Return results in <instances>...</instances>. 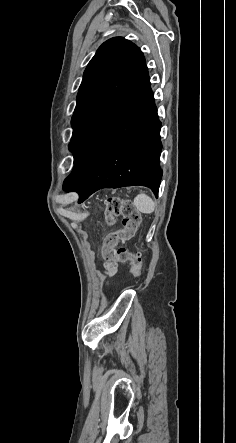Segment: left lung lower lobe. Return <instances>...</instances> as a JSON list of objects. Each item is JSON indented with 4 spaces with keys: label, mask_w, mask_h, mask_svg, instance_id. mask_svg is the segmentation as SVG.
Wrapping results in <instances>:
<instances>
[{
    "label": "left lung lower lobe",
    "mask_w": 236,
    "mask_h": 443,
    "mask_svg": "<svg viewBox=\"0 0 236 443\" xmlns=\"http://www.w3.org/2000/svg\"><path fill=\"white\" fill-rule=\"evenodd\" d=\"M146 65L120 98L76 145L74 168L63 189L76 191L79 203L102 188L143 185L157 196L162 178V144Z\"/></svg>",
    "instance_id": "0a47b994"
}]
</instances>
